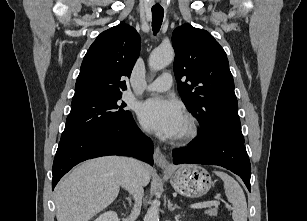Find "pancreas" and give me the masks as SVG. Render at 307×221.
Listing matches in <instances>:
<instances>
[{
	"mask_svg": "<svg viewBox=\"0 0 307 221\" xmlns=\"http://www.w3.org/2000/svg\"><path fill=\"white\" fill-rule=\"evenodd\" d=\"M217 213H218L217 208H210L205 211V214L209 216H217Z\"/></svg>",
	"mask_w": 307,
	"mask_h": 221,
	"instance_id": "pancreas-1",
	"label": "pancreas"
}]
</instances>
